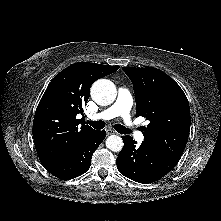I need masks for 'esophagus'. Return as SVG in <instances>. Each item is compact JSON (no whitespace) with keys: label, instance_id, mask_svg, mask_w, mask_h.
I'll list each match as a JSON object with an SVG mask.
<instances>
[{"label":"esophagus","instance_id":"34e87169","mask_svg":"<svg viewBox=\"0 0 221 221\" xmlns=\"http://www.w3.org/2000/svg\"><path fill=\"white\" fill-rule=\"evenodd\" d=\"M106 133H107V135L116 134V132L113 129H107Z\"/></svg>","mask_w":221,"mask_h":221}]
</instances>
